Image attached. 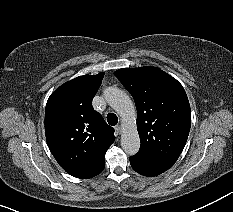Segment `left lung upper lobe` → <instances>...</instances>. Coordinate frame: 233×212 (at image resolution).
I'll use <instances>...</instances> for the list:
<instances>
[{
  "label": "left lung upper lobe",
  "mask_w": 233,
  "mask_h": 212,
  "mask_svg": "<svg viewBox=\"0 0 233 212\" xmlns=\"http://www.w3.org/2000/svg\"><path fill=\"white\" fill-rule=\"evenodd\" d=\"M115 76L133 96L140 136L138 153L173 165L191 126L190 104L182 85L156 67L123 68Z\"/></svg>",
  "instance_id": "left-lung-upper-lobe-1"
}]
</instances>
